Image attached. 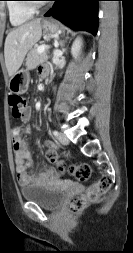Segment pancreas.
<instances>
[{"label":"pancreas","instance_id":"pancreas-1","mask_svg":"<svg viewBox=\"0 0 133 253\" xmlns=\"http://www.w3.org/2000/svg\"><path fill=\"white\" fill-rule=\"evenodd\" d=\"M47 59H48V54L46 51L39 54L37 52V48H33L30 50V52L27 55V59H26L27 69L32 70Z\"/></svg>","mask_w":133,"mask_h":253}]
</instances>
